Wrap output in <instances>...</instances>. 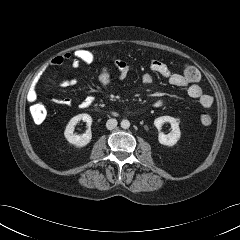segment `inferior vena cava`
Masks as SVG:
<instances>
[{
    "label": "inferior vena cava",
    "mask_w": 240,
    "mask_h": 240,
    "mask_svg": "<svg viewBox=\"0 0 240 240\" xmlns=\"http://www.w3.org/2000/svg\"><path fill=\"white\" fill-rule=\"evenodd\" d=\"M117 126V120L116 119H109L106 122V127L108 130H113Z\"/></svg>",
    "instance_id": "1"
}]
</instances>
